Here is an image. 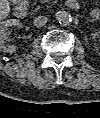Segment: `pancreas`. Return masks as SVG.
Listing matches in <instances>:
<instances>
[{"instance_id":"obj_1","label":"pancreas","mask_w":100,"mask_h":118,"mask_svg":"<svg viewBox=\"0 0 100 118\" xmlns=\"http://www.w3.org/2000/svg\"><path fill=\"white\" fill-rule=\"evenodd\" d=\"M44 1H47V0H42L41 2H44ZM39 8H40V6L37 7V9H39Z\"/></svg>"}]
</instances>
